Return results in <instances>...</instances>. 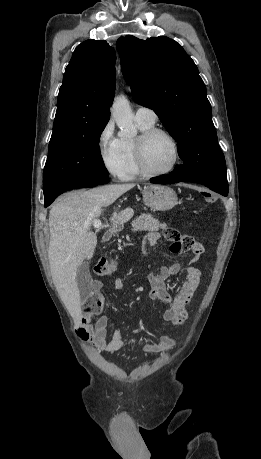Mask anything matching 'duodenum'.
Returning <instances> with one entry per match:
<instances>
[{"mask_svg": "<svg viewBox=\"0 0 261 459\" xmlns=\"http://www.w3.org/2000/svg\"><path fill=\"white\" fill-rule=\"evenodd\" d=\"M118 232V228L113 226V227H110L104 234V240L105 241H109L112 237H114L116 235V233Z\"/></svg>", "mask_w": 261, "mask_h": 459, "instance_id": "obj_1", "label": "duodenum"}]
</instances>
